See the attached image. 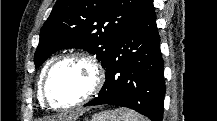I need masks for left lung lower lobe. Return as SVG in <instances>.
<instances>
[{"instance_id": "obj_1", "label": "left lung lower lobe", "mask_w": 217, "mask_h": 121, "mask_svg": "<svg viewBox=\"0 0 217 121\" xmlns=\"http://www.w3.org/2000/svg\"><path fill=\"white\" fill-rule=\"evenodd\" d=\"M105 68L102 89L84 106H124L162 121L166 86L153 0H140Z\"/></svg>"}]
</instances>
